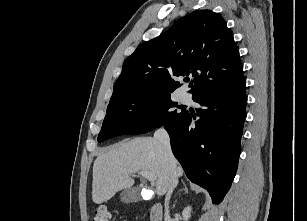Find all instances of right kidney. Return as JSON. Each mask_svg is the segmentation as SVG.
<instances>
[{"mask_svg":"<svg viewBox=\"0 0 307 221\" xmlns=\"http://www.w3.org/2000/svg\"><path fill=\"white\" fill-rule=\"evenodd\" d=\"M191 206H187L184 208L183 212H182V216H183V220L184 221H188V219L191 217Z\"/></svg>","mask_w":307,"mask_h":221,"instance_id":"obj_1","label":"right kidney"}]
</instances>
